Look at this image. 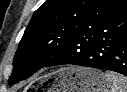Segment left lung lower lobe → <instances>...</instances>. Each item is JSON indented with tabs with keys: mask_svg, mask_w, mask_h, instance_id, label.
Returning a JSON list of instances; mask_svg holds the SVG:
<instances>
[{
	"mask_svg": "<svg viewBox=\"0 0 127 92\" xmlns=\"http://www.w3.org/2000/svg\"><path fill=\"white\" fill-rule=\"evenodd\" d=\"M72 64L127 76V1L77 33L43 67Z\"/></svg>",
	"mask_w": 127,
	"mask_h": 92,
	"instance_id": "left-lung-lower-lobe-1",
	"label": "left lung lower lobe"
}]
</instances>
